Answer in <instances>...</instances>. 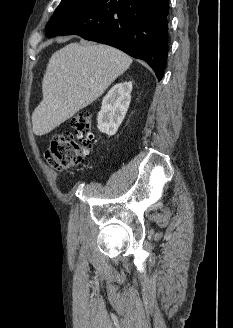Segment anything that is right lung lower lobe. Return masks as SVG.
I'll list each match as a JSON object with an SVG mask.
<instances>
[{
  "instance_id": "1",
  "label": "right lung lower lobe",
  "mask_w": 233,
  "mask_h": 328,
  "mask_svg": "<svg viewBox=\"0 0 233 328\" xmlns=\"http://www.w3.org/2000/svg\"><path fill=\"white\" fill-rule=\"evenodd\" d=\"M169 0H95L57 20L48 37L79 35L145 60L161 80L168 54Z\"/></svg>"
}]
</instances>
